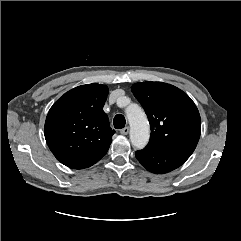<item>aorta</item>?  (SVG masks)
<instances>
[{
    "instance_id": "1",
    "label": "aorta",
    "mask_w": 241,
    "mask_h": 241,
    "mask_svg": "<svg viewBox=\"0 0 241 241\" xmlns=\"http://www.w3.org/2000/svg\"><path fill=\"white\" fill-rule=\"evenodd\" d=\"M130 124V141L137 149H143L150 138V127L144 111L136 104L126 109Z\"/></svg>"
}]
</instances>
